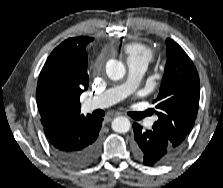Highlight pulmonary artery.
<instances>
[{
    "label": "pulmonary artery",
    "instance_id": "1",
    "mask_svg": "<svg viewBox=\"0 0 223 188\" xmlns=\"http://www.w3.org/2000/svg\"><path fill=\"white\" fill-rule=\"evenodd\" d=\"M148 64L141 60H127L128 77L127 80L118 86L110 88L101 94L87 98L84 101V107L88 111L109 107L131 93L138 87L141 79L147 69ZM153 120H150L147 125L151 127Z\"/></svg>",
    "mask_w": 223,
    "mask_h": 188
}]
</instances>
